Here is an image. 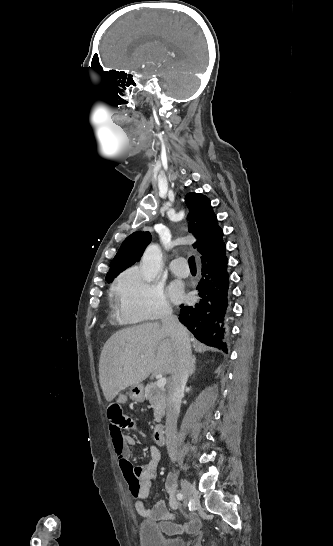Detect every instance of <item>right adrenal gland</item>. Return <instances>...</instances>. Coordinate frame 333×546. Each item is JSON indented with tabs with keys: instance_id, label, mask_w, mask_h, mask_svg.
Wrapping results in <instances>:
<instances>
[{
	"instance_id": "right-adrenal-gland-1",
	"label": "right adrenal gland",
	"mask_w": 333,
	"mask_h": 546,
	"mask_svg": "<svg viewBox=\"0 0 333 546\" xmlns=\"http://www.w3.org/2000/svg\"><path fill=\"white\" fill-rule=\"evenodd\" d=\"M195 356H193V359H192V367H191V370H190V376L196 371V368H195Z\"/></svg>"
}]
</instances>
